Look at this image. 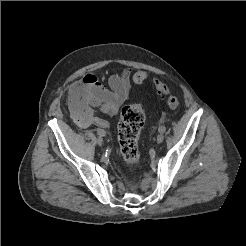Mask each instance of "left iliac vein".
<instances>
[{
	"label": "left iliac vein",
	"instance_id": "obj_1",
	"mask_svg": "<svg viewBox=\"0 0 246 246\" xmlns=\"http://www.w3.org/2000/svg\"><path fill=\"white\" fill-rule=\"evenodd\" d=\"M164 140V135L163 133H159L158 136H157V143L160 144L162 143Z\"/></svg>",
	"mask_w": 246,
	"mask_h": 246
}]
</instances>
